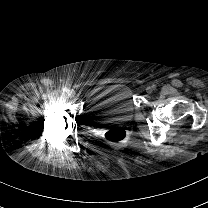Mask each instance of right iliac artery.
Listing matches in <instances>:
<instances>
[{
    "label": "right iliac artery",
    "instance_id": "right-iliac-artery-1",
    "mask_svg": "<svg viewBox=\"0 0 208 208\" xmlns=\"http://www.w3.org/2000/svg\"><path fill=\"white\" fill-rule=\"evenodd\" d=\"M63 92H64V93H68V92H69L68 88H66V87L63 88Z\"/></svg>",
    "mask_w": 208,
    "mask_h": 208
}]
</instances>
